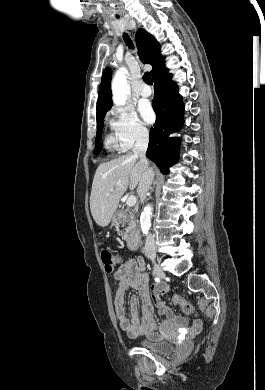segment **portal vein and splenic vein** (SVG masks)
Listing matches in <instances>:
<instances>
[{
	"label": "portal vein and splenic vein",
	"mask_w": 265,
	"mask_h": 390,
	"mask_svg": "<svg viewBox=\"0 0 265 390\" xmlns=\"http://www.w3.org/2000/svg\"><path fill=\"white\" fill-rule=\"evenodd\" d=\"M136 202H137V199H136V197L133 196V195L129 196V197L127 198V200H126V204H127V206H129V207L135 206V205H136Z\"/></svg>",
	"instance_id": "obj_1"
}]
</instances>
